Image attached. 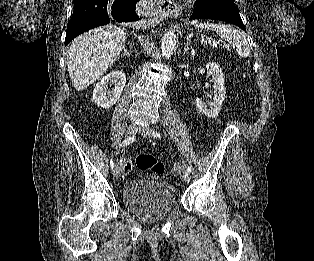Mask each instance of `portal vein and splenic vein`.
Masks as SVG:
<instances>
[{
	"instance_id": "obj_1",
	"label": "portal vein and splenic vein",
	"mask_w": 314,
	"mask_h": 261,
	"mask_svg": "<svg viewBox=\"0 0 314 261\" xmlns=\"http://www.w3.org/2000/svg\"><path fill=\"white\" fill-rule=\"evenodd\" d=\"M212 46H213V47H217V42H214V41H213V42H212ZM225 47H229V46H228L227 44H225Z\"/></svg>"
}]
</instances>
